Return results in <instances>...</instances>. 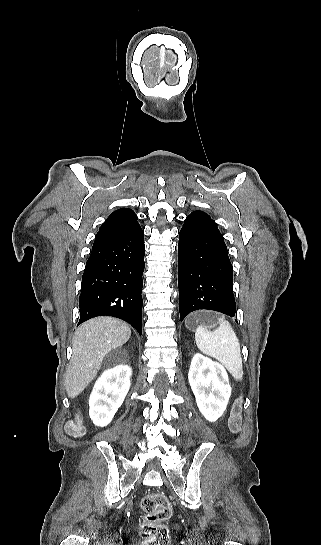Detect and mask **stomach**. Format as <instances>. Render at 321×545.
<instances>
[{
	"label": "stomach",
	"instance_id": "1",
	"mask_svg": "<svg viewBox=\"0 0 321 545\" xmlns=\"http://www.w3.org/2000/svg\"><path fill=\"white\" fill-rule=\"evenodd\" d=\"M204 317H209L210 319L209 311H198V313H192V315H189L185 321L187 329H190V331H195ZM207 323H210V321H207ZM213 325H215V323H213Z\"/></svg>",
	"mask_w": 321,
	"mask_h": 545
}]
</instances>
